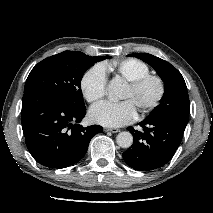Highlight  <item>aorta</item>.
<instances>
[{
  "label": "aorta",
  "mask_w": 213,
  "mask_h": 213,
  "mask_svg": "<svg viewBox=\"0 0 213 213\" xmlns=\"http://www.w3.org/2000/svg\"><path fill=\"white\" fill-rule=\"evenodd\" d=\"M122 82L113 79L108 85V95L111 99L120 97L122 92ZM116 142L121 148H129L133 144V136L128 131L120 132L116 137Z\"/></svg>",
  "instance_id": "762f6f07"
}]
</instances>
